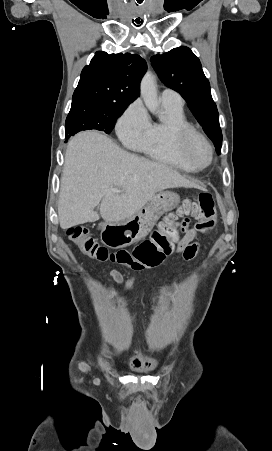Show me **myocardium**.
Instances as JSON below:
<instances>
[{"instance_id":"myocardium-1","label":"myocardium","mask_w":272,"mask_h":451,"mask_svg":"<svg viewBox=\"0 0 272 451\" xmlns=\"http://www.w3.org/2000/svg\"><path fill=\"white\" fill-rule=\"evenodd\" d=\"M169 135L171 140L176 143L180 163L186 172L196 173L203 169L195 167L190 161L189 149L194 142L200 143L208 154V162L205 167L212 165L214 161L213 147L203 134L188 126L174 125L170 129Z\"/></svg>"}]
</instances>
